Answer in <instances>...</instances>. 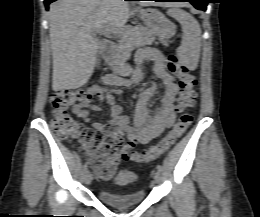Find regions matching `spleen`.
Wrapping results in <instances>:
<instances>
[{"instance_id":"obj_1","label":"spleen","mask_w":260,"mask_h":217,"mask_svg":"<svg viewBox=\"0 0 260 217\" xmlns=\"http://www.w3.org/2000/svg\"><path fill=\"white\" fill-rule=\"evenodd\" d=\"M168 15L176 19L182 26V44L178 48L179 56L184 60L199 57L201 45V28L198 21L182 9H170Z\"/></svg>"}]
</instances>
